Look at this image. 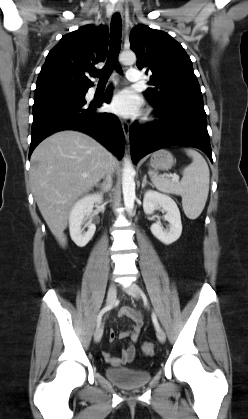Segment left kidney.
<instances>
[{
  "mask_svg": "<svg viewBox=\"0 0 248 419\" xmlns=\"http://www.w3.org/2000/svg\"><path fill=\"white\" fill-rule=\"evenodd\" d=\"M159 208L167 212L165 220L169 222V229L163 230L160 223L157 222L151 225L150 230L158 240L169 245L181 236L182 224L179 208L170 196L154 190H147L143 199L144 212L146 214H153Z\"/></svg>",
  "mask_w": 248,
  "mask_h": 419,
  "instance_id": "5707ae66",
  "label": "left kidney"
}]
</instances>
